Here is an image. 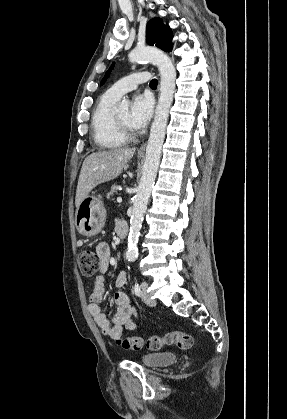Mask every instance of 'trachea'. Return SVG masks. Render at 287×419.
I'll return each mask as SVG.
<instances>
[{
  "instance_id": "1",
  "label": "trachea",
  "mask_w": 287,
  "mask_h": 419,
  "mask_svg": "<svg viewBox=\"0 0 287 419\" xmlns=\"http://www.w3.org/2000/svg\"><path fill=\"white\" fill-rule=\"evenodd\" d=\"M157 84H158V81H157L156 79H153V80L150 82V86H151V87H156V86H157Z\"/></svg>"
}]
</instances>
